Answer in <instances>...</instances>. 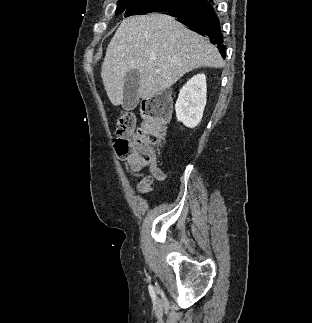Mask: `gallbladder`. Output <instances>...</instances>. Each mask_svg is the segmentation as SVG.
<instances>
[{
  "mask_svg": "<svg viewBox=\"0 0 312 323\" xmlns=\"http://www.w3.org/2000/svg\"><path fill=\"white\" fill-rule=\"evenodd\" d=\"M140 76L138 70H130L129 74L125 76L123 88V108L124 110H133L136 108L138 98Z\"/></svg>",
  "mask_w": 312,
  "mask_h": 323,
  "instance_id": "1",
  "label": "gallbladder"
}]
</instances>
